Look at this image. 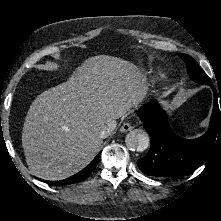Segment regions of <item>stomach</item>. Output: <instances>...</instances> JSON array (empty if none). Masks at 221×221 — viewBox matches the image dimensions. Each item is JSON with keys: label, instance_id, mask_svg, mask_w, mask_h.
I'll list each match as a JSON object with an SVG mask.
<instances>
[{"label": "stomach", "instance_id": "stomach-1", "mask_svg": "<svg viewBox=\"0 0 221 221\" xmlns=\"http://www.w3.org/2000/svg\"><path fill=\"white\" fill-rule=\"evenodd\" d=\"M163 104H164V106H166L167 108L172 109V106L169 104V102L164 101Z\"/></svg>", "mask_w": 221, "mask_h": 221}]
</instances>
